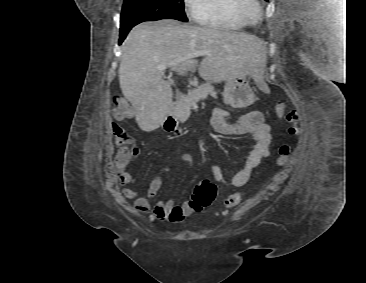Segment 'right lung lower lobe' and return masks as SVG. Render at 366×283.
Returning a JSON list of instances; mask_svg holds the SVG:
<instances>
[{
  "label": "right lung lower lobe",
  "mask_w": 366,
  "mask_h": 283,
  "mask_svg": "<svg viewBox=\"0 0 366 283\" xmlns=\"http://www.w3.org/2000/svg\"><path fill=\"white\" fill-rule=\"evenodd\" d=\"M138 23H128L125 25H121L120 26V39H119V43L121 44L122 41L125 39L126 35L128 34V32L130 31V29L132 27H134L135 25H137Z\"/></svg>",
  "instance_id": "obj_1"
}]
</instances>
